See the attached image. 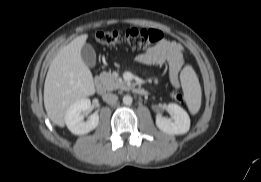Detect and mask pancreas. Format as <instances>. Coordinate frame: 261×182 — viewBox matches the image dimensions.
<instances>
[{"label":"pancreas","mask_w":261,"mask_h":182,"mask_svg":"<svg viewBox=\"0 0 261 182\" xmlns=\"http://www.w3.org/2000/svg\"><path fill=\"white\" fill-rule=\"evenodd\" d=\"M100 79L102 80L104 87L108 91L116 89L127 90V86L125 85L124 81L115 72H102L100 74Z\"/></svg>","instance_id":"cf45deb5"}]
</instances>
